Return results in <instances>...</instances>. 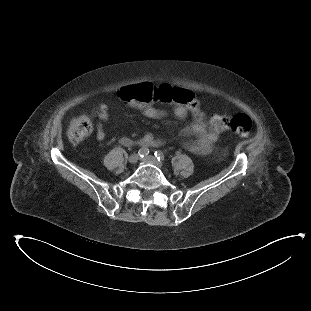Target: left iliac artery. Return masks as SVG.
<instances>
[{
    "label": "left iliac artery",
    "instance_id": "44dca946",
    "mask_svg": "<svg viewBox=\"0 0 311 311\" xmlns=\"http://www.w3.org/2000/svg\"><path fill=\"white\" fill-rule=\"evenodd\" d=\"M155 157L159 160V161H164L165 156L161 151H156L155 153Z\"/></svg>",
    "mask_w": 311,
    "mask_h": 311
}]
</instances>
